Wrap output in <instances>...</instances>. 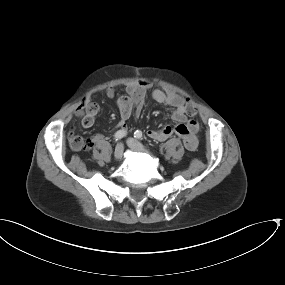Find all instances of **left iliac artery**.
<instances>
[{"label":"left iliac artery","mask_w":285,"mask_h":285,"mask_svg":"<svg viewBox=\"0 0 285 285\" xmlns=\"http://www.w3.org/2000/svg\"><path fill=\"white\" fill-rule=\"evenodd\" d=\"M142 132L140 131V130H136L135 132H134V137L136 138V139H142Z\"/></svg>","instance_id":"44dca946"}]
</instances>
